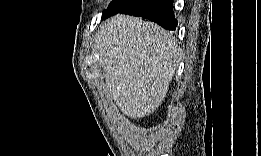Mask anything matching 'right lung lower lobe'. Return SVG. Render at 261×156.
<instances>
[{
  "instance_id": "1",
  "label": "right lung lower lobe",
  "mask_w": 261,
  "mask_h": 156,
  "mask_svg": "<svg viewBox=\"0 0 261 156\" xmlns=\"http://www.w3.org/2000/svg\"><path fill=\"white\" fill-rule=\"evenodd\" d=\"M172 2V0H133L119 13L146 18L167 30H175L177 20L174 17Z\"/></svg>"
}]
</instances>
